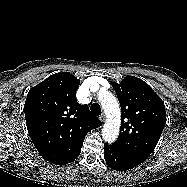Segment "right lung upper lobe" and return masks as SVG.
Returning a JSON list of instances; mask_svg holds the SVG:
<instances>
[{
    "mask_svg": "<svg viewBox=\"0 0 187 187\" xmlns=\"http://www.w3.org/2000/svg\"><path fill=\"white\" fill-rule=\"evenodd\" d=\"M79 84L72 74L56 73L31 88L25 101L30 138L41 156L56 165L76 159L86 134L102 125L77 102Z\"/></svg>",
    "mask_w": 187,
    "mask_h": 187,
    "instance_id": "right-lung-upper-lobe-1",
    "label": "right lung upper lobe"
}]
</instances>
